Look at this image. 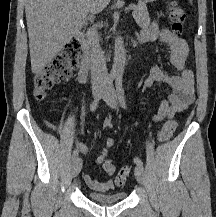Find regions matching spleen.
<instances>
[{
  "instance_id": "obj_1",
  "label": "spleen",
  "mask_w": 216,
  "mask_h": 217,
  "mask_svg": "<svg viewBox=\"0 0 216 217\" xmlns=\"http://www.w3.org/2000/svg\"><path fill=\"white\" fill-rule=\"evenodd\" d=\"M189 2L192 4V0H189Z\"/></svg>"
}]
</instances>
